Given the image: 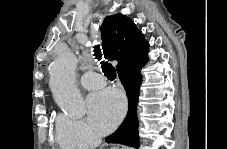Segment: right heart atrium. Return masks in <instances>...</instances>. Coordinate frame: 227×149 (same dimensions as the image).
<instances>
[{"mask_svg": "<svg viewBox=\"0 0 227 149\" xmlns=\"http://www.w3.org/2000/svg\"><path fill=\"white\" fill-rule=\"evenodd\" d=\"M59 140L63 145L85 148L97 143V136L82 119L60 114L56 119Z\"/></svg>", "mask_w": 227, "mask_h": 149, "instance_id": "1", "label": "right heart atrium"}]
</instances>
